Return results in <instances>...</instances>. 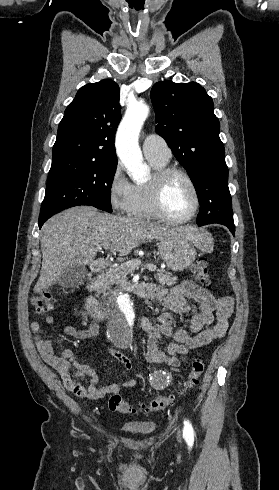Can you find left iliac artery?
<instances>
[{
	"label": "left iliac artery",
	"mask_w": 279,
	"mask_h": 490,
	"mask_svg": "<svg viewBox=\"0 0 279 490\" xmlns=\"http://www.w3.org/2000/svg\"><path fill=\"white\" fill-rule=\"evenodd\" d=\"M183 437L185 438L188 446L192 447L194 443V431L189 420L184 421Z\"/></svg>",
	"instance_id": "44dca946"
}]
</instances>
